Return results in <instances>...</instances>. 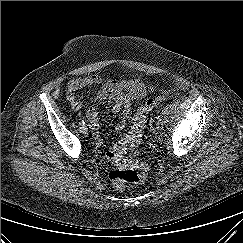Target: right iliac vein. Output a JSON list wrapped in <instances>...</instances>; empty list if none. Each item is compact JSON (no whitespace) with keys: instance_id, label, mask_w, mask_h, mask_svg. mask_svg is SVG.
<instances>
[{"instance_id":"right-iliac-vein-1","label":"right iliac vein","mask_w":243,"mask_h":243,"mask_svg":"<svg viewBox=\"0 0 243 243\" xmlns=\"http://www.w3.org/2000/svg\"><path fill=\"white\" fill-rule=\"evenodd\" d=\"M80 132L83 133V134H86V133H88V128L83 125V126L80 127Z\"/></svg>"}]
</instances>
